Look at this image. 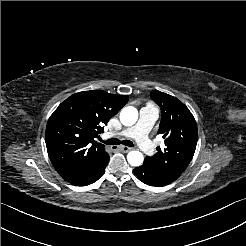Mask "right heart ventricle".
I'll list each match as a JSON object with an SVG mask.
<instances>
[{
	"mask_svg": "<svg viewBox=\"0 0 246 246\" xmlns=\"http://www.w3.org/2000/svg\"><path fill=\"white\" fill-rule=\"evenodd\" d=\"M148 105H151V104H150V103H147V106H148Z\"/></svg>",
	"mask_w": 246,
	"mask_h": 246,
	"instance_id": "1",
	"label": "right heart ventricle"
}]
</instances>
